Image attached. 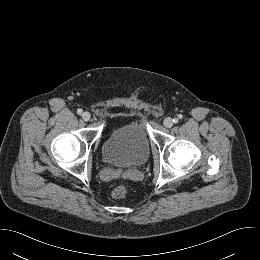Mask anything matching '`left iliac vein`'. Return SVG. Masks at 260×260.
<instances>
[{"label": "left iliac vein", "mask_w": 260, "mask_h": 260, "mask_svg": "<svg viewBox=\"0 0 260 260\" xmlns=\"http://www.w3.org/2000/svg\"><path fill=\"white\" fill-rule=\"evenodd\" d=\"M163 124H164L165 127L171 128L173 126V119L170 118V117H167V118L164 119Z\"/></svg>", "instance_id": "obj_1"}]
</instances>
